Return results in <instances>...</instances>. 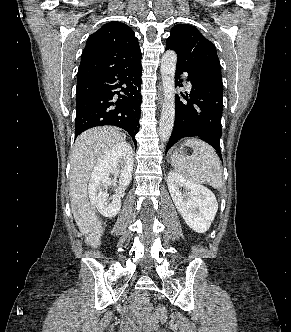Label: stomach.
<instances>
[{
    "label": "stomach",
    "instance_id": "stomach-1",
    "mask_svg": "<svg viewBox=\"0 0 291 332\" xmlns=\"http://www.w3.org/2000/svg\"><path fill=\"white\" fill-rule=\"evenodd\" d=\"M174 156L179 157V158L186 157L182 148H175V150L173 151L172 157H174ZM172 157H171V159H172Z\"/></svg>",
    "mask_w": 291,
    "mask_h": 332
}]
</instances>
